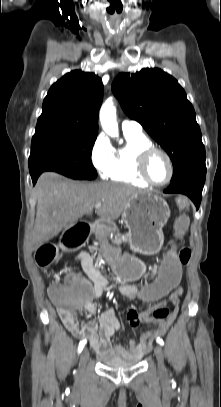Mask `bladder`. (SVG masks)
I'll return each instance as SVG.
<instances>
[{"label":"bladder","mask_w":221,"mask_h":407,"mask_svg":"<svg viewBox=\"0 0 221 407\" xmlns=\"http://www.w3.org/2000/svg\"><path fill=\"white\" fill-rule=\"evenodd\" d=\"M98 359L103 365L111 368H130L136 366L140 362L139 359L123 360L116 358H107L101 355L98 356Z\"/></svg>","instance_id":"1"}]
</instances>
